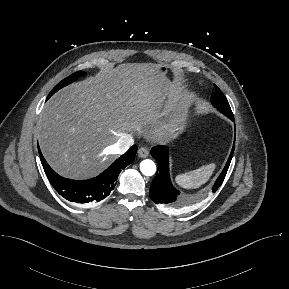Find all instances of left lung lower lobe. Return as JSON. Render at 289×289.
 I'll return each instance as SVG.
<instances>
[{"instance_id":"left-lung-lower-lobe-1","label":"left lung lower lobe","mask_w":289,"mask_h":289,"mask_svg":"<svg viewBox=\"0 0 289 289\" xmlns=\"http://www.w3.org/2000/svg\"><path fill=\"white\" fill-rule=\"evenodd\" d=\"M228 118L234 121L233 114L229 112L225 114ZM235 148V142L233 144L232 151L227 160V163L212 186V192H215L222 184L226 173L228 171ZM151 155L157 161L158 168L156 176L152 180L150 187V197L156 203L165 208H177L184 204L182 197L179 196L180 192L176 190L170 180L169 165H168V151L166 146H155L151 149Z\"/></svg>"}]
</instances>
